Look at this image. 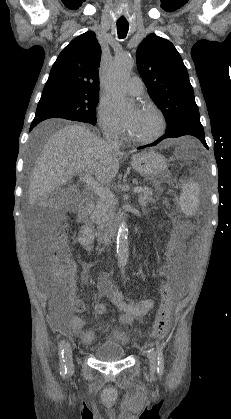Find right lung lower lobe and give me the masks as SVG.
Instances as JSON below:
<instances>
[{"mask_svg": "<svg viewBox=\"0 0 231 419\" xmlns=\"http://www.w3.org/2000/svg\"><path fill=\"white\" fill-rule=\"evenodd\" d=\"M41 121H43V120H41V119L33 120L32 124L30 126V131Z\"/></svg>", "mask_w": 231, "mask_h": 419, "instance_id": "obj_1", "label": "right lung lower lobe"}]
</instances>
